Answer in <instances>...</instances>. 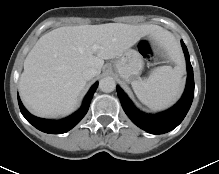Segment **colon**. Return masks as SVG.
Wrapping results in <instances>:
<instances>
[{
	"mask_svg": "<svg viewBox=\"0 0 219 174\" xmlns=\"http://www.w3.org/2000/svg\"><path fill=\"white\" fill-rule=\"evenodd\" d=\"M139 50L150 64L155 63V49L154 45L149 40H143L139 44Z\"/></svg>",
	"mask_w": 219,
	"mask_h": 174,
	"instance_id": "obj_1",
	"label": "colon"
}]
</instances>
